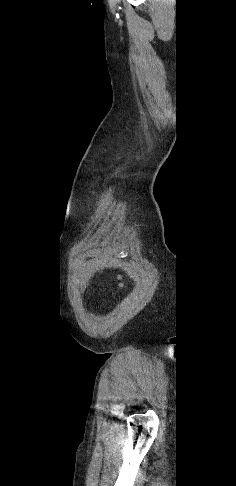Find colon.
<instances>
[{
  "label": "colon",
  "instance_id": "colon-1",
  "mask_svg": "<svg viewBox=\"0 0 236 486\" xmlns=\"http://www.w3.org/2000/svg\"><path fill=\"white\" fill-rule=\"evenodd\" d=\"M122 287H123V283H122V282H120V283H119V288L121 289Z\"/></svg>",
  "mask_w": 236,
  "mask_h": 486
}]
</instances>
